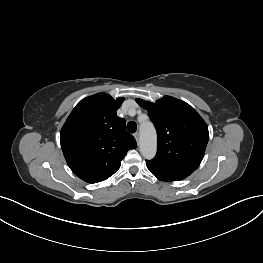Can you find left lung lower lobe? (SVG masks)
<instances>
[{
	"mask_svg": "<svg viewBox=\"0 0 263 263\" xmlns=\"http://www.w3.org/2000/svg\"><path fill=\"white\" fill-rule=\"evenodd\" d=\"M159 180H162V181H166V180H163V179H160V178H158Z\"/></svg>",
	"mask_w": 263,
	"mask_h": 263,
	"instance_id": "0a47b994",
	"label": "left lung lower lobe"
}]
</instances>
